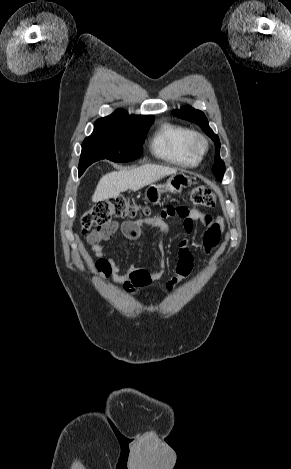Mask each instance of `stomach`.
<instances>
[{
  "instance_id": "obj_1",
  "label": "stomach",
  "mask_w": 291,
  "mask_h": 469,
  "mask_svg": "<svg viewBox=\"0 0 291 469\" xmlns=\"http://www.w3.org/2000/svg\"><path fill=\"white\" fill-rule=\"evenodd\" d=\"M190 184L191 178L187 174L176 173L171 175L165 185L151 184L145 191V199L152 204H158L164 191L180 193Z\"/></svg>"
}]
</instances>
